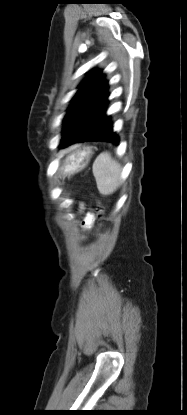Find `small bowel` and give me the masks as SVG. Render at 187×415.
Wrapping results in <instances>:
<instances>
[{"instance_id": "small-bowel-1", "label": "small bowel", "mask_w": 187, "mask_h": 415, "mask_svg": "<svg viewBox=\"0 0 187 415\" xmlns=\"http://www.w3.org/2000/svg\"><path fill=\"white\" fill-rule=\"evenodd\" d=\"M94 219V216L92 214H88L85 219L83 220V226L86 228H89L92 224V221Z\"/></svg>"}]
</instances>
